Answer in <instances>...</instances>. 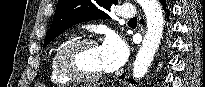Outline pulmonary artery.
Listing matches in <instances>:
<instances>
[{
    "instance_id": "e3ab8cb5",
    "label": "pulmonary artery",
    "mask_w": 205,
    "mask_h": 87,
    "mask_svg": "<svg viewBox=\"0 0 205 87\" xmlns=\"http://www.w3.org/2000/svg\"><path fill=\"white\" fill-rule=\"evenodd\" d=\"M135 14V9L133 5H123L119 11V16L122 19L132 18Z\"/></svg>"
}]
</instances>
